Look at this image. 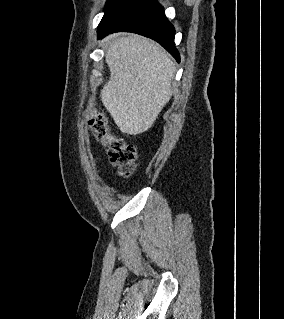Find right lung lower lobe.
I'll return each instance as SVG.
<instances>
[{"mask_svg": "<svg viewBox=\"0 0 284 319\" xmlns=\"http://www.w3.org/2000/svg\"><path fill=\"white\" fill-rule=\"evenodd\" d=\"M133 32L160 43L178 62L180 55L174 44L175 29L156 0H138L104 29L98 38L114 32Z\"/></svg>", "mask_w": 284, "mask_h": 319, "instance_id": "98d812e1", "label": "right lung lower lobe"}]
</instances>
